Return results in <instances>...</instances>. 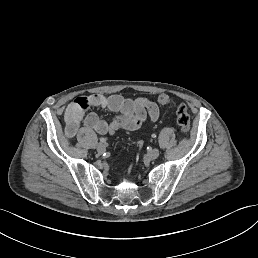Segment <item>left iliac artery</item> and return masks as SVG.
<instances>
[{"mask_svg":"<svg viewBox=\"0 0 258 258\" xmlns=\"http://www.w3.org/2000/svg\"><path fill=\"white\" fill-rule=\"evenodd\" d=\"M151 137H152V138H156L157 135H156L155 133H153V134L151 135Z\"/></svg>","mask_w":258,"mask_h":258,"instance_id":"obj_1","label":"left iliac artery"}]
</instances>
